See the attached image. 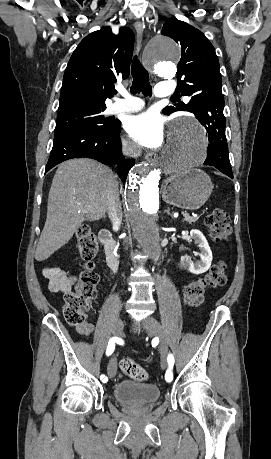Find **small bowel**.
I'll return each instance as SVG.
<instances>
[{
  "label": "small bowel",
  "mask_w": 271,
  "mask_h": 459,
  "mask_svg": "<svg viewBox=\"0 0 271 459\" xmlns=\"http://www.w3.org/2000/svg\"><path fill=\"white\" fill-rule=\"evenodd\" d=\"M48 288L52 292H69L77 282V277L69 275L60 267H47L43 271ZM95 329L93 322H83L76 326V331L84 336L90 335Z\"/></svg>",
  "instance_id": "small-bowel-1"
}]
</instances>
